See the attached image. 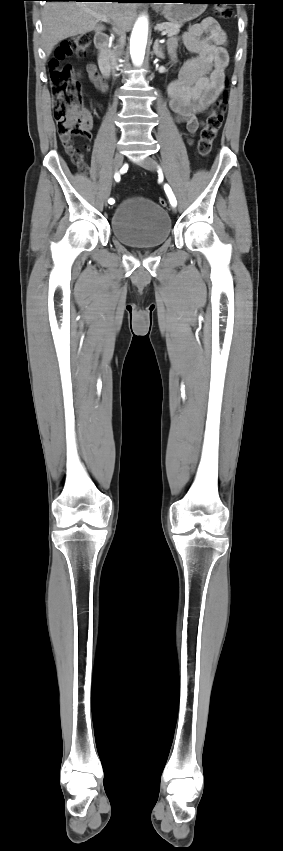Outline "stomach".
<instances>
[{
	"label": "stomach",
	"mask_w": 283,
	"mask_h": 851,
	"mask_svg": "<svg viewBox=\"0 0 283 851\" xmlns=\"http://www.w3.org/2000/svg\"><path fill=\"white\" fill-rule=\"evenodd\" d=\"M156 9L171 23L183 24L200 16L207 7V0H167Z\"/></svg>",
	"instance_id": "obj_1"
}]
</instances>
